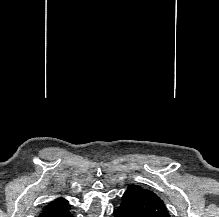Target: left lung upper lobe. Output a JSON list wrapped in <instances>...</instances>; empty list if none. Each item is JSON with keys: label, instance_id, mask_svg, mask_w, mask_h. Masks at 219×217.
<instances>
[{"label": "left lung upper lobe", "instance_id": "left-lung-upper-lobe-1", "mask_svg": "<svg viewBox=\"0 0 219 217\" xmlns=\"http://www.w3.org/2000/svg\"><path fill=\"white\" fill-rule=\"evenodd\" d=\"M124 205L136 217H170L162 199L138 185H130L122 197Z\"/></svg>", "mask_w": 219, "mask_h": 217}]
</instances>
